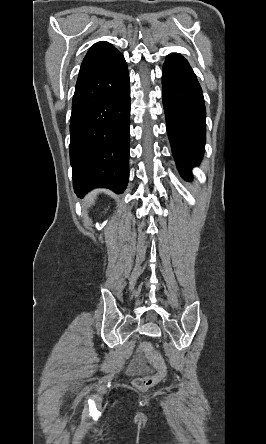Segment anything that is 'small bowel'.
Returning <instances> with one entry per match:
<instances>
[{"label": "small bowel", "mask_w": 266, "mask_h": 444, "mask_svg": "<svg viewBox=\"0 0 266 444\" xmlns=\"http://www.w3.org/2000/svg\"><path fill=\"white\" fill-rule=\"evenodd\" d=\"M145 371L144 362L140 355H136L129 367V373L140 374Z\"/></svg>", "instance_id": "obj_1"}]
</instances>
